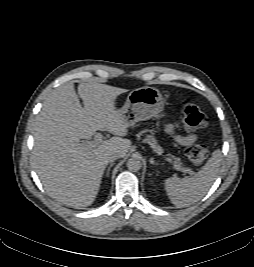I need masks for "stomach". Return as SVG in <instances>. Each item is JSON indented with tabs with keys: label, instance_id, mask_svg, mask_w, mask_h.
I'll use <instances>...</instances> for the list:
<instances>
[{
	"label": "stomach",
	"instance_id": "0dacf381",
	"mask_svg": "<svg viewBox=\"0 0 254 267\" xmlns=\"http://www.w3.org/2000/svg\"><path fill=\"white\" fill-rule=\"evenodd\" d=\"M163 111L164 98L161 92L149 86L132 90L124 106L119 110L129 126L153 116L164 117Z\"/></svg>",
	"mask_w": 254,
	"mask_h": 267
}]
</instances>
